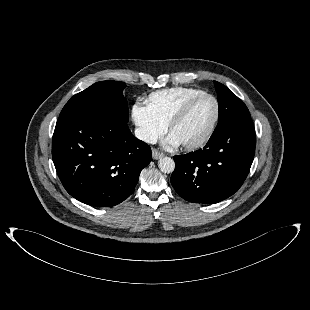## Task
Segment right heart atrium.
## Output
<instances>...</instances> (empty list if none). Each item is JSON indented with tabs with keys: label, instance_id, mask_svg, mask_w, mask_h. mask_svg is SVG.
I'll use <instances>...</instances> for the list:
<instances>
[{
	"label": "right heart atrium",
	"instance_id": "obj_1",
	"mask_svg": "<svg viewBox=\"0 0 310 310\" xmlns=\"http://www.w3.org/2000/svg\"><path fill=\"white\" fill-rule=\"evenodd\" d=\"M131 116L137 137L145 143L155 142L167 129V124L154 116L147 104H134Z\"/></svg>",
	"mask_w": 310,
	"mask_h": 310
}]
</instances>
